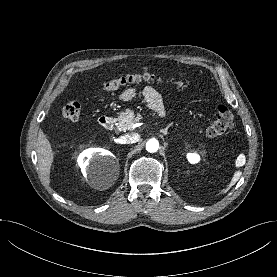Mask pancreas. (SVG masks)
<instances>
[{
    "label": "pancreas",
    "mask_w": 277,
    "mask_h": 277,
    "mask_svg": "<svg viewBox=\"0 0 277 277\" xmlns=\"http://www.w3.org/2000/svg\"><path fill=\"white\" fill-rule=\"evenodd\" d=\"M142 116L137 113L134 114V111L127 109L124 112H121L117 119V128L120 131H127L132 129V125L138 122Z\"/></svg>",
    "instance_id": "obj_1"
}]
</instances>
